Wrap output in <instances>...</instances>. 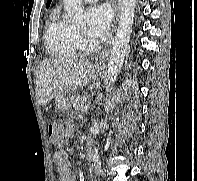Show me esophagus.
<instances>
[{
  "mask_svg": "<svg viewBox=\"0 0 197 181\" xmlns=\"http://www.w3.org/2000/svg\"><path fill=\"white\" fill-rule=\"evenodd\" d=\"M120 9H121V0H116L115 15H114V30H115L116 24L118 22V18H119V15H120ZM111 40L109 41V46L100 55L99 61L97 62V65H96L97 68H103L104 67V63L107 60L108 55L110 53Z\"/></svg>",
  "mask_w": 197,
  "mask_h": 181,
  "instance_id": "1",
  "label": "esophagus"
}]
</instances>
